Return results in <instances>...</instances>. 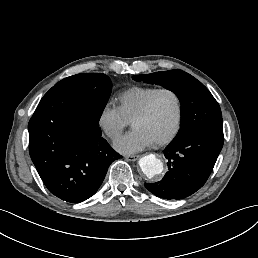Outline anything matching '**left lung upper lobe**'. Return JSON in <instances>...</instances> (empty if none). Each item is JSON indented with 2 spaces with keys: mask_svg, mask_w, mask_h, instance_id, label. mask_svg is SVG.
I'll return each mask as SVG.
<instances>
[{
  "mask_svg": "<svg viewBox=\"0 0 258 258\" xmlns=\"http://www.w3.org/2000/svg\"><path fill=\"white\" fill-rule=\"evenodd\" d=\"M136 81L161 85L174 92L181 102V129L171 142L179 143L207 130L222 131L221 109L209 90L181 70L135 75Z\"/></svg>",
  "mask_w": 258,
  "mask_h": 258,
  "instance_id": "obj_1",
  "label": "left lung upper lobe"
}]
</instances>
